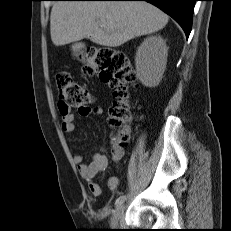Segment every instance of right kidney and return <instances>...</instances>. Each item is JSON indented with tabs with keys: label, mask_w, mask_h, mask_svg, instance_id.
Returning a JSON list of instances; mask_svg holds the SVG:
<instances>
[{
	"label": "right kidney",
	"mask_w": 231,
	"mask_h": 231,
	"mask_svg": "<svg viewBox=\"0 0 231 231\" xmlns=\"http://www.w3.org/2000/svg\"><path fill=\"white\" fill-rule=\"evenodd\" d=\"M167 62L166 42L160 36L146 38L135 56L136 74L146 87H154L161 81Z\"/></svg>",
	"instance_id": "right-kidney-1"
}]
</instances>
